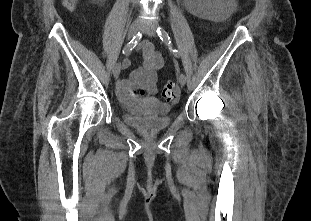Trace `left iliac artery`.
<instances>
[{"label":"left iliac artery","mask_w":311,"mask_h":221,"mask_svg":"<svg viewBox=\"0 0 311 221\" xmlns=\"http://www.w3.org/2000/svg\"><path fill=\"white\" fill-rule=\"evenodd\" d=\"M157 34L160 37V39L169 47V49L173 52L174 56L179 57V52L177 49L173 48L171 38L167 31L162 27L158 26L157 27Z\"/></svg>","instance_id":"44dca946"}]
</instances>
